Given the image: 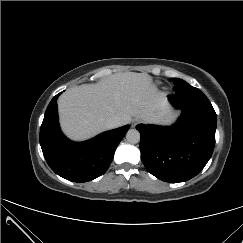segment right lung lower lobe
Segmentation results:
<instances>
[{"label": "right lung lower lobe", "mask_w": 243, "mask_h": 243, "mask_svg": "<svg viewBox=\"0 0 243 243\" xmlns=\"http://www.w3.org/2000/svg\"><path fill=\"white\" fill-rule=\"evenodd\" d=\"M57 94L51 100L40 129V145L50 168L73 182L91 181L106 172L115 150L129 130V125L104 132L76 143L61 132L58 122Z\"/></svg>", "instance_id": "1"}]
</instances>
